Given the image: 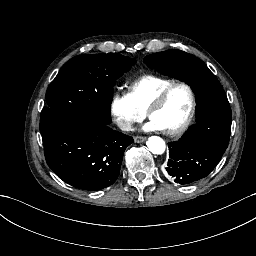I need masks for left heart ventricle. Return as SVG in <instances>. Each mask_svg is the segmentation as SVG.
Instances as JSON below:
<instances>
[{"mask_svg": "<svg viewBox=\"0 0 256 256\" xmlns=\"http://www.w3.org/2000/svg\"><path fill=\"white\" fill-rule=\"evenodd\" d=\"M190 96L181 85H175L169 92L164 103L153 110L152 117L162 121L167 132L180 125L190 110Z\"/></svg>", "mask_w": 256, "mask_h": 256, "instance_id": "left-heart-ventricle-1", "label": "left heart ventricle"}]
</instances>
